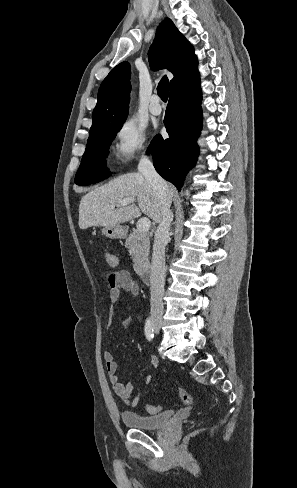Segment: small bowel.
Instances as JSON below:
<instances>
[{
  "label": "small bowel",
  "instance_id": "obj_1",
  "mask_svg": "<svg viewBox=\"0 0 297 488\" xmlns=\"http://www.w3.org/2000/svg\"><path fill=\"white\" fill-rule=\"evenodd\" d=\"M105 263L108 266L114 267L118 263L117 256L112 252H106L104 254ZM126 291L134 295L139 293L138 284L131 278L128 272L119 271L114 274V285L109 288V301L115 303L119 300L121 292ZM135 325V321L131 318H126L122 322V326L125 329L131 328ZM103 359L105 363V368L107 371L109 382L112 386L113 391L124 404L128 406H136L140 400V394L132 397L133 386L130 382H123L118 376V364L114 359L113 354L110 351H105L103 353ZM131 359V356L129 357ZM149 363L153 368L158 366V359L156 357H151ZM152 381V376L147 375L144 379L145 384H149Z\"/></svg>",
  "mask_w": 297,
  "mask_h": 488
}]
</instances>
